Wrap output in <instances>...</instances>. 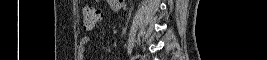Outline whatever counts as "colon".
I'll return each mask as SVG.
<instances>
[{
    "label": "colon",
    "mask_w": 267,
    "mask_h": 60,
    "mask_svg": "<svg viewBox=\"0 0 267 60\" xmlns=\"http://www.w3.org/2000/svg\"><path fill=\"white\" fill-rule=\"evenodd\" d=\"M83 25L86 29L93 28L102 19V9L92 3H87L83 7Z\"/></svg>",
    "instance_id": "obj_1"
}]
</instances>
